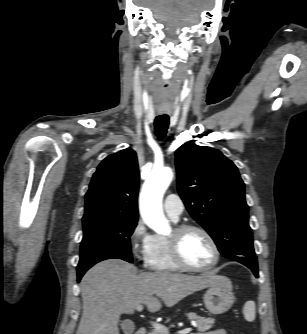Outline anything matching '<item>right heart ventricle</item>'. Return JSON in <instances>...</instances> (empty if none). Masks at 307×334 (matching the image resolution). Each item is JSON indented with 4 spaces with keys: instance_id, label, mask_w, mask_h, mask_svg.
<instances>
[{
    "instance_id": "obj_1",
    "label": "right heart ventricle",
    "mask_w": 307,
    "mask_h": 334,
    "mask_svg": "<svg viewBox=\"0 0 307 334\" xmlns=\"http://www.w3.org/2000/svg\"><path fill=\"white\" fill-rule=\"evenodd\" d=\"M147 267L155 271L174 272L180 268L173 261L167 239L162 236H154L153 246L146 259Z\"/></svg>"
}]
</instances>
